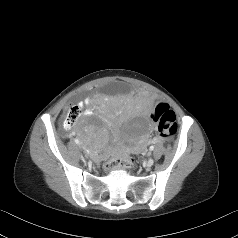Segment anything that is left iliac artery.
Wrapping results in <instances>:
<instances>
[{"instance_id": "left-iliac-artery-1", "label": "left iliac artery", "mask_w": 238, "mask_h": 238, "mask_svg": "<svg viewBox=\"0 0 238 238\" xmlns=\"http://www.w3.org/2000/svg\"><path fill=\"white\" fill-rule=\"evenodd\" d=\"M150 151H153L154 150V145H151L150 148H149Z\"/></svg>"}]
</instances>
